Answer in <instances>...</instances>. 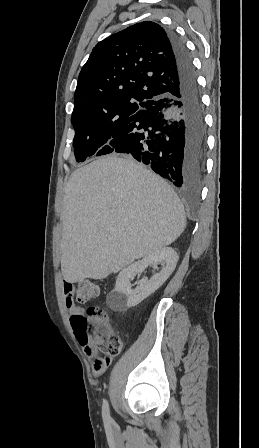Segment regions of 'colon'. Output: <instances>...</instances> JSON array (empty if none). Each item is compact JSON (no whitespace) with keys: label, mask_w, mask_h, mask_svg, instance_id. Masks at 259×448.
<instances>
[{"label":"colon","mask_w":259,"mask_h":448,"mask_svg":"<svg viewBox=\"0 0 259 448\" xmlns=\"http://www.w3.org/2000/svg\"><path fill=\"white\" fill-rule=\"evenodd\" d=\"M74 291L77 302L87 304L100 295L101 287L94 281L84 280L77 283ZM71 323L81 345L93 344L107 356L121 352L122 341L103 307L91 306L84 314L72 317Z\"/></svg>","instance_id":"1"}]
</instances>
